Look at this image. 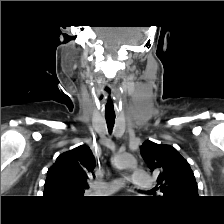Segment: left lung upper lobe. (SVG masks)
Here are the masks:
<instances>
[{
  "instance_id": "left-lung-upper-lobe-1",
  "label": "left lung upper lobe",
  "mask_w": 224,
  "mask_h": 224,
  "mask_svg": "<svg viewBox=\"0 0 224 224\" xmlns=\"http://www.w3.org/2000/svg\"><path fill=\"white\" fill-rule=\"evenodd\" d=\"M140 152L149 168L159 172L157 182L166 198L198 197L193 171L174 147L147 140L140 146Z\"/></svg>"
}]
</instances>
